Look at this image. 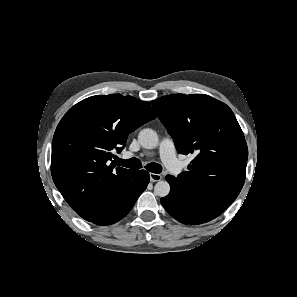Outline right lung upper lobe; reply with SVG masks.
<instances>
[{"mask_svg":"<svg viewBox=\"0 0 297 297\" xmlns=\"http://www.w3.org/2000/svg\"><path fill=\"white\" fill-rule=\"evenodd\" d=\"M155 118L148 102L111 94L86 98L61 119L52 142L51 174L83 219L94 216L133 171L113 169V151L122 150L131 132Z\"/></svg>","mask_w":297,"mask_h":297,"instance_id":"cb5924a9","label":"right lung upper lobe"}]
</instances>
